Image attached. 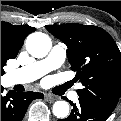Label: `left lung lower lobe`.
<instances>
[{
	"instance_id": "left-lung-lower-lobe-1",
	"label": "left lung lower lobe",
	"mask_w": 121,
	"mask_h": 121,
	"mask_svg": "<svg viewBox=\"0 0 121 121\" xmlns=\"http://www.w3.org/2000/svg\"><path fill=\"white\" fill-rule=\"evenodd\" d=\"M73 110L66 119L58 121H105L111 113L90 104L89 102L79 98V104H73Z\"/></svg>"
}]
</instances>
